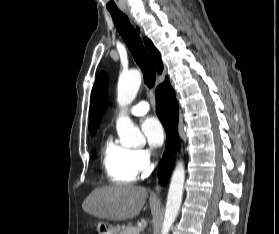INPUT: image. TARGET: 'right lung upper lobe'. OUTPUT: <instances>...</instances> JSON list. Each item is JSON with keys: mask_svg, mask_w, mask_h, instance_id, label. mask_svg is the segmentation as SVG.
Returning a JSON list of instances; mask_svg holds the SVG:
<instances>
[{"mask_svg": "<svg viewBox=\"0 0 279 234\" xmlns=\"http://www.w3.org/2000/svg\"><path fill=\"white\" fill-rule=\"evenodd\" d=\"M145 46L148 50L150 58L152 59L157 72L161 73L163 70V63L161 61L159 51L154 47L153 43L148 38H145Z\"/></svg>", "mask_w": 279, "mask_h": 234, "instance_id": "obj_1", "label": "right lung upper lobe"}]
</instances>
